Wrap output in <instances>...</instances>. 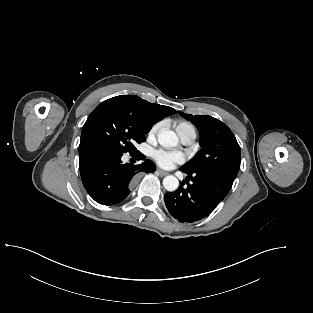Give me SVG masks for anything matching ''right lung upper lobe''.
<instances>
[{"label":"right lung upper lobe","mask_w":313,"mask_h":313,"mask_svg":"<svg viewBox=\"0 0 313 313\" xmlns=\"http://www.w3.org/2000/svg\"><path fill=\"white\" fill-rule=\"evenodd\" d=\"M107 101H118V102L129 105L130 107L135 109L142 116L144 121L147 124H149L151 127L157 121L176 113V111L171 107L149 103L148 101L143 100L136 95H120V96H116L111 99H108ZM93 113L94 111L89 115V117ZM86 148H88V146L85 143L84 126H83L81 141L79 145V151L86 149Z\"/></svg>","instance_id":"cb5924a9"}]
</instances>
